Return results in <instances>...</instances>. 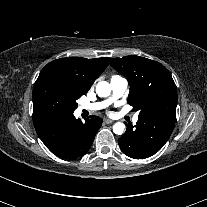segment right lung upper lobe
Wrapping results in <instances>:
<instances>
[{
	"label": "right lung upper lobe",
	"mask_w": 207,
	"mask_h": 207,
	"mask_svg": "<svg viewBox=\"0 0 207 207\" xmlns=\"http://www.w3.org/2000/svg\"><path fill=\"white\" fill-rule=\"evenodd\" d=\"M108 65V58H60L48 63L36 81L54 76L79 95L85 94ZM36 83V82H35ZM38 116L34 115L33 117Z\"/></svg>",
	"instance_id": "cb5924a9"
}]
</instances>
